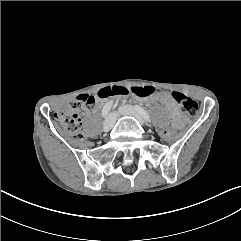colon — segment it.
<instances>
[{"mask_svg": "<svg viewBox=\"0 0 241 241\" xmlns=\"http://www.w3.org/2000/svg\"><path fill=\"white\" fill-rule=\"evenodd\" d=\"M150 86H113L101 89L95 95H80L67 108L56 112L54 118L58 125L74 138H82L81 117L84 115L97 100L108 97H121L133 95L138 98H145L155 92ZM172 98L179 108L190 116H196L198 113V104L195 100L187 97L183 93L174 92ZM158 137L169 139L174 136V131L170 128L159 127L156 130Z\"/></svg>", "mask_w": 241, "mask_h": 241, "instance_id": "obj_1", "label": "colon"}]
</instances>
